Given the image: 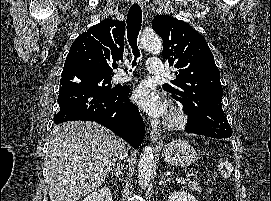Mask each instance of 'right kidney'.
<instances>
[{
    "label": "right kidney",
    "instance_id": "obj_1",
    "mask_svg": "<svg viewBox=\"0 0 271 201\" xmlns=\"http://www.w3.org/2000/svg\"><path fill=\"white\" fill-rule=\"evenodd\" d=\"M83 201H113L112 194L108 187H103L98 191L92 192Z\"/></svg>",
    "mask_w": 271,
    "mask_h": 201
}]
</instances>
